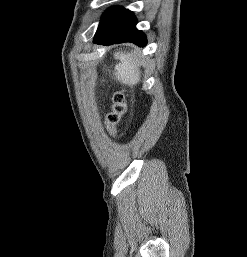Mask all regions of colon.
I'll list each match as a JSON object with an SVG mask.
<instances>
[{
  "label": "colon",
  "mask_w": 247,
  "mask_h": 257,
  "mask_svg": "<svg viewBox=\"0 0 247 257\" xmlns=\"http://www.w3.org/2000/svg\"><path fill=\"white\" fill-rule=\"evenodd\" d=\"M127 113V98L124 93L117 92L112 97L111 110L106 116V129L109 134L114 135L117 131V126Z\"/></svg>",
  "instance_id": "colon-1"
}]
</instances>
